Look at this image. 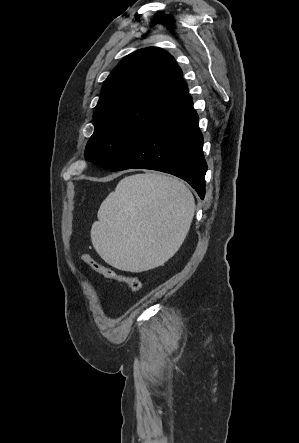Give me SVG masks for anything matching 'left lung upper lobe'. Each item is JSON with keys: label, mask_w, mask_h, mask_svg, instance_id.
Here are the masks:
<instances>
[{"label": "left lung upper lobe", "mask_w": 299, "mask_h": 443, "mask_svg": "<svg viewBox=\"0 0 299 443\" xmlns=\"http://www.w3.org/2000/svg\"><path fill=\"white\" fill-rule=\"evenodd\" d=\"M186 88L182 70L165 50L148 47L127 55L104 82L86 159L112 168Z\"/></svg>", "instance_id": "left-lung-upper-lobe-1"}]
</instances>
